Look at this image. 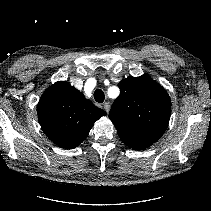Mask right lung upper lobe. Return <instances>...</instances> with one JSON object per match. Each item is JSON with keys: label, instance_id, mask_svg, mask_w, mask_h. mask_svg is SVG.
Segmentation results:
<instances>
[{"label": "right lung upper lobe", "instance_id": "cb5924a9", "mask_svg": "<svg viewBox=\"0 0 211 211\" xmlns=\"http://www.w3.org/2000/svg\"><path fill=\"white\" fill-rule=\"evenodd\" d=\"M37 114L47 137L58 146L71 149L85 140L95 121L106 112L63 81L56 82L43 93Z\"/></svg>", "mask_w": 211, "mask_h": 211}]
</instances>
